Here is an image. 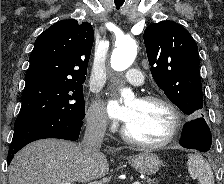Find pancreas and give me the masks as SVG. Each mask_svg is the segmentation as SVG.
Wrapping results in <instances>:
<instances>
[{
	"label": "pancreas",
	"instance_id": "1",
	"mask_svg": "<svg viewBox=\"0 0 224 184\" xmlns=\"http://www.w3.org/2000/svg\"><path fill=\"white\" fill-rule=\"evenodd\" d=\"M147 184H157V183H154V181L152 180H147Z\"/></svg>",
	"mask_w": 224,
	"mask_h": 184
}]
</instances>
